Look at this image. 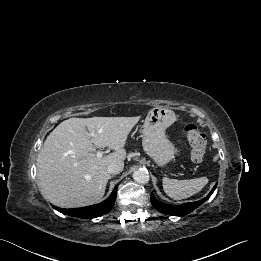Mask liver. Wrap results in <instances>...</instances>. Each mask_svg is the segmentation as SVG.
<instances>
[{"instance_id":"liver-1","label":"liver","mask_w":261,"mask_h":261,"mask_svg":"<svg viewBox=\"0 0 261 261\" xmlns=\"http://www.w3.org/2000/svg\"><path fill=\"white\" fill-rule=\"evenodd\" d=\"M140 117L70 118L46 138L37 158L38 187L44 198L63 208L99 202L112 164L124 166V146ZM88 134H92L91 137ZM114 152L98 157L94 148Z\"/></svg>"}]
</instances>
